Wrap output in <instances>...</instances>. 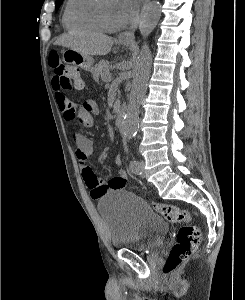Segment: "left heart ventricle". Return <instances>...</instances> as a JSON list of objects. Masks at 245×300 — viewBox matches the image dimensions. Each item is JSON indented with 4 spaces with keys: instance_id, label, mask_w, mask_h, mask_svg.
I'll list each match as a JSON object with an SVG mask.
<instances>
[{
    "instance_id": "b2bd125f",
    "label": "left heart ventricle",
    "mask_w": 245,
    "mask_h": 300,
    "mask_svg": "<svg viewBox=\"0 0 245 300\" xmlns=\"http://www.w3.org/2000/svg\"><path fill=\"white\" fill-rule=\"evenodd\" d=\"M102 9L105 20L111 25L120 24L127 19L120 0H103Z\"/></svg>"
}]
</instances>
